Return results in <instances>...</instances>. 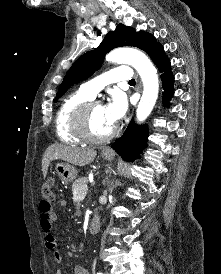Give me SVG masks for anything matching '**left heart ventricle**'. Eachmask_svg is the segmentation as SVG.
Wrapping results in <instances>:
<instances>
[{
  "label": "left heart ventricle",
  "mask_w": 221,
  "mask_h": 274,
  "mask_svg": "<svg viewBox=\"0 0 221 274\" xmlns=\"http://www.w3.org/2000/svg\"><path fill=\"white\" fill-rule=\"evenodd\" d=\"M90 126L96 135L107 134L113 129L106 120L105 106L99 105L93 108L90 115Z\"/></svg>",
  "instance_id": "left-heart-ventricle-1"
}]
</instances>
